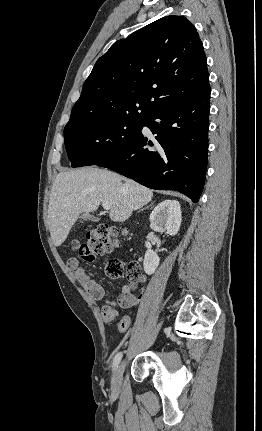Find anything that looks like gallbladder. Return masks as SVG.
Wrapping results in <instances>:
<instances>
[{
	"instance_id": "gallbladder-1",
	"label": "gallbladder",
	"mask_w": 262,
	"mask_h": 431,
	"mask_svg": "<svg viewBox=\"0 0 262 431\" xmlns=\"http://www.w3.org/2000/svg\"><path fill=\"white\" fill-rule=\"evenodd\" d=\"M80 218L81 219L89 218L91 220H96V218L94 216L90 215V214H83Z\"/></svg>"
}]
</instances>
